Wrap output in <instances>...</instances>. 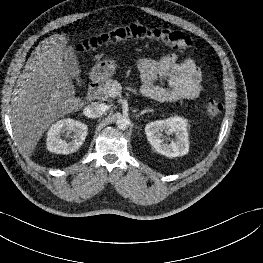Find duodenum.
<instances>
[{
  "mask_svg": "<svg viewBox=\"0 0 263 263\" xmlns=\"http://www.w3.org/2000/svg\"><path fill=\"white\" fill-rule=\"evenodd\" d=\"M100 83L98 81H92L87 89V98L93 100L97 97L100 91Z\"/></svg>",
  "mask_w": 263,
  "mask_h": 263,
  "instance_id": "duodenum-1",
  "label": "duodenum"
}]
</instances>
